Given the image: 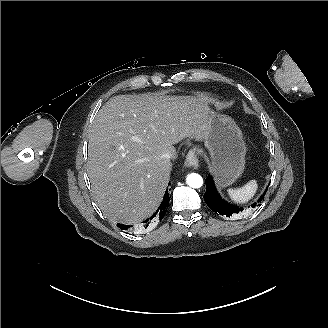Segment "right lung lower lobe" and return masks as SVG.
I'll return each mask as SVG.
<instances>
[{"mask_svg": "<svg viewBox=\"0 0 328 328\" xmlns=\"http://www.w3.org/2000/svg\"><path fill=\"white\" fill-rule=\"evenodd\" d=\"M169 201H170V194H168V191L166 190L164 199H163L162 203L160 204L159 208L149 219H147L143 222L142 227L147 228L151 223H155L156 221L163 219V217L166 214ZM117 226L121 230H128L132 227L129 225H124V224H117Z\"/></svg>", "mask_w": 328, "mask_h": 328, "instance_id": "obj_1", "label": "right lung lower lobe"}]
</instances>
